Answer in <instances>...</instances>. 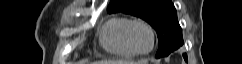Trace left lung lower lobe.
Returning <instances> with one entry per match:
<instances>
[{"instance_id": "1", "label": "left lung lower lobe", "mask_w": 242, "mask_h": 64, "mask_svg": "<svg viewBox=\"0 0 242 64\" xmlns=\"http://www.w3.org/2000/svg\"><path fill=\"white\" fill-rule=\"evenodd\" d=\"M184 59L187 61V55L183 54Z\"/></svg>"}]
</instances>
